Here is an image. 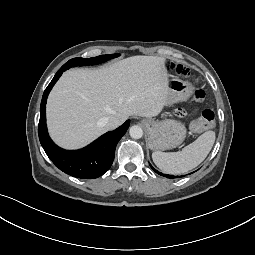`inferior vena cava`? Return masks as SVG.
I'll list each match as a JSON object with an SVG mask.
<instances>
[{
    "label": "inferior vena cava",
    "instance_id": "obj_1",
    "mask_svg": "<svg viewBox=\"0 0 255 255\" xmlns=\"http://www.w3.org/2000/svg\"><path fill=\"white\" fill-rule=\"evenodd\" d=\"M103 123L108 130H112L120 126L122 124V120L117 116H108L103 120Z\"/></svg>",
    "mask_w": 255,
    "mask_h": 255
}]
</instances>
